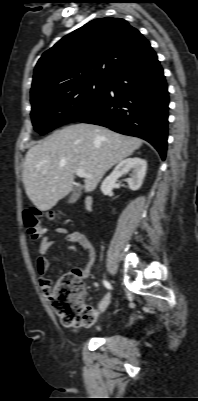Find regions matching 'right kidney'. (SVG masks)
<instances>
[{"mask_svg": "<svg viewBox=\"0 0 198 401\" xmlns=\"http://www.w3.org/2000/svg\"><path fill=\"white\" fill-rule=\"evenodd\" d=\"M147 162L139 157L128 158L121 161L112 173L105 178L101 185V191L104 195H112L116 180L131 171V177L127 179L129 188L133 191L138 190L146 175Z\"/></svg>", "mask_w": 198, "mask_h": 401, "instance_id": "right-kidney-1", "label": "right kidney"}]
</instances>
